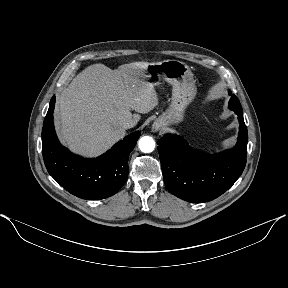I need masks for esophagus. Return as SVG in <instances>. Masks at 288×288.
Segmentation results:
<instances>
[{"instance_id": "esophagus-1", "label": "esophagus", "mask_w": 288, "mask_h": 288, "mask_svg": "<svg viewBox=\"0 0 288 288\" xmlns=\"http://www.w3.org/2000/svg\"><path fill=\"white\" fill-rule=\"evenodd\" d=\"M153 130H154V131H157V130H158V126H154V127H153Z\"/></svg>"}]
</instances>
